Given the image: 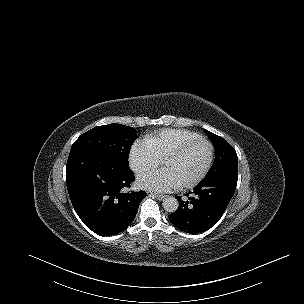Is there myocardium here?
I'll list each match as a JSON object with an SVG mask.
<instances>
[{
    "label": "myocardium",
    "instance_id": "f54148a6",
    "mask_svg": "<svg viewBox=\"0 0 304 304\" xmlns=\"http://www.w3.org/2000/svg\"><path fill=\"white\" fill-rule=\"evenodd\" d=\"M203 143L207 147V157L199 169V171L190 179L187 180H180L181 184L183 186H192L197 184L209 171L212 161H213V145L212 143L203 137H195L187 142H185L183 145H181L179 148H177L167 159L165 162V165L169 168L171 172L175 174V167L178 163V161L182 158V156L186 153L187 150H189L191 147Z\"/></svg>",
    "mask_w": 304,
    "mask_h": 304
}]
</instances>
